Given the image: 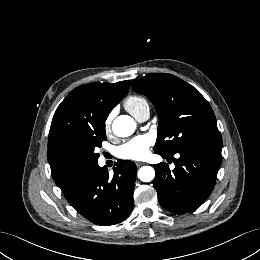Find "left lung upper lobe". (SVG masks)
<instances>
[{
	"label": "left lung upper lobe",
	"instance_id": "5c2ea615",
	"mask_svg": "<svg viewBox=\"0 0 260 260\" xmlns=\"http://www.w3.org/2000/svg\"><path fill=\"white\" fill-rule=\"evenodd\" d=\"M132 86L156 108L160 121L155 153L173 156L192 147H222L213 110L193 86L164 73L134 79Z\"/></svg>",
	"mask_w": 260,
	"mask_h": 260
}]
</instances>
